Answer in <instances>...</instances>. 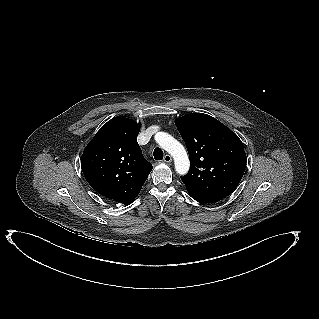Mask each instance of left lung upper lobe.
<instances>
[{"instance_id": "left-lung-upper-lobe-1", "label": "left lung upper lobe", "mask_w": 319, "mask_h": 319, "mask_svg": "<svg viewBox=\"0 0 319 319\" xmlns=\"http://www.w3.org/2000/svg\"><path fill=\"white\" fill-rule=\"evenodd\" d=\"M186 143L190 169L181 177L187 190L215 201L229 196L246 167V154L238 136L215 118L190 113L175 120Z\"/></svg>"}]
</instances>
